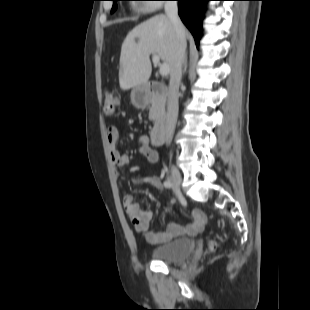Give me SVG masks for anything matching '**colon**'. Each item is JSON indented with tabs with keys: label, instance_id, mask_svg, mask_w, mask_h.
Wrapping results in <instances>:
<instances>
[{
	"label": "colon",
	"instance_id": "obj_1",
	"mask_svg": "<svg viewBox=\"0 0 310 310\" xmlns=\"http://www.w3.org/2000/svg\"><path fill=\"white\" fill-rule=\"evenodd\" d=\"M101 103H102V106L105 112L112 113L118 104L117 93L112 90H107L102 96ZM215 247H216V243L211 242L210 248L213 250L215 249Z\"/></svg>",
	"mask_w": 310,
	"mask_h": 310
}]
</instances>
